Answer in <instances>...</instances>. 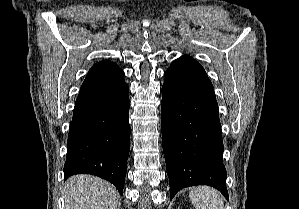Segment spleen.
Listing matches in <instances>:
<instances>
[{
    "instance_id": "spleen-1",
    "label": "spleen",
    "mask_w": 299,
    "mask_h": 209,
    "mask_svg": "<svg viewBox=\"0 0 299 209\" xmlns=\"http://www.w3.org/2000/svg\"><path fill=\"white\" fill-rule=\"evenodd\" d=\"M189 197L196 209H224L222 195L212 187H194L190 191Z\"/></svg>"
}]
</instances>
